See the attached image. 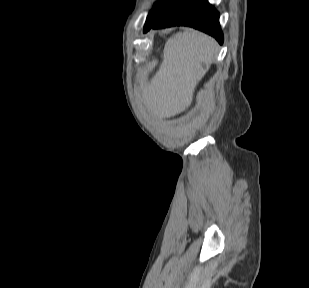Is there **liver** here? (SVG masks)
Masks as SVG:
<instances>
[{"label": "liver", "instance_id": "obj_1", "mask_svg": "<svg viewBox=\"0 0 309 288\" xmlns=\"http://www.w3.org/2000/svg\"><path fill=\"white\" fill-rule=\"evenodd\" d=\"M216 49L213 38L194 29H186L170 38L164 47L161 68L151 86L143 92L148 111L160 118L183 112L191 104L197 84L209 70Z\"/></svg>", "mask_w": 309, "mask_h": 288}]
</instances>
